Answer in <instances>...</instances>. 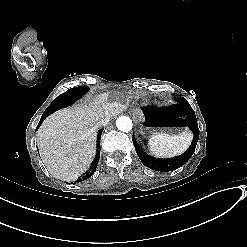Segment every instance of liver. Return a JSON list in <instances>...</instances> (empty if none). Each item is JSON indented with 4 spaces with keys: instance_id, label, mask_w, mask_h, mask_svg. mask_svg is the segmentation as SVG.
I'll return each mask as SVG.
<instances>
[{
    "instance_id": "liver-1",
    "label": "liver",
    "mask_w": 247,
    "mask_h": 247,
    "mask_svg": "<svg viewBox=\"0 0 247 247\" xmlns=\"http://www.w3.org/2000/svg\"><path fill=\"white\" fill-rule=\"evenodd\" d=\"M122 110L105 94L90 106L60 110L49 116L37 133L40 156L49 173L64 181L83 173L94 156L96 123Z\"/></svg>"
}]
</instances>
